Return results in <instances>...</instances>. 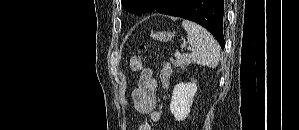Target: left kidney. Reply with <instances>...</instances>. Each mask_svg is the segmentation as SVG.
Returning <instances> with one entry per match:
<instances>
[{
	"instance_id": "5707ae66",
	"label": "left kidney",
	"mask_w": 299,
	"mask_h": 130,
	"mask_svg": "<svg viewBox=\"0 0 299 130\" xmlns=\"http://www.w3.org/2000/svg\"><path fill=\"white\" fill-rule=\"evenodd\" d=\"M196 91L197 85L194 82L180 83L174 87L170 111L177 121H182L189 115Z\"/></svg>"
}]
</instances>
